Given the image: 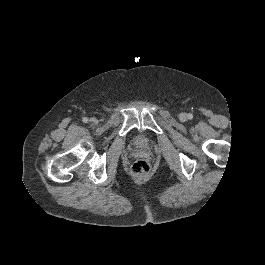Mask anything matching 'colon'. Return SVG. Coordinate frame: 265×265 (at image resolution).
<instances>
[{
  "label": "colon",
  "instance_id": "colon-1",
  "mask_svg": "<svg viewBox=\"0 0 265 265\" xmlns=\"http://www.w3.org/2000/svg\"><path fill=\"white\" fill-rule=\"evenodd\" d=\"M150 171V165L146 160L140 159L135 161L131 166V173L136 177H141Z\"/></svg>",
  "mask_w": 265,
  "mask_h": 265
}]
</instances>
